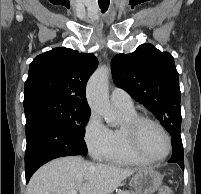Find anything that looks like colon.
<instances>
[{"label": "colon", "instance_id": "1", "mask_svg": "<svg viewBox=\"0 0 201 194\" xmlns=\"http://www.w3.org/2000/svg\"><path fill=\"white\" fill-rule=\"evenodd\" d=\"M157 194H172L170 187L166 184H163L157 191Z\"/></svg>", "mask_w": 201, "mask_h": 194}]
</instances>
